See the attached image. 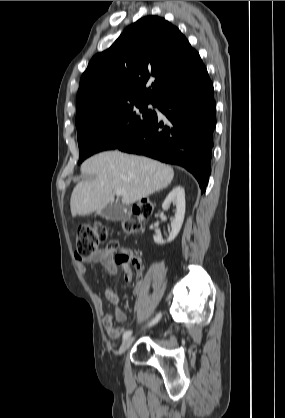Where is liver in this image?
<instances>
[{
	"instance_id": "1",
	"label": "liver",
	"mask_w": 285,
	"mask_h": 418,
	"mask_svg": "<svg viewBox=\"0 0 285 418\" xmlns=\"http://www.w3.org/2000/svg\"><path fill=\"white\" fill-rule=\"evenodd\" d=\"M81 172L95 178L74 187L70 199L72 216L104 209L117 189L123 192L124 205L133 204L167 187L174 177L172 167L166 164L119 151L101 152L88 158L81 165Z\"/></svg>"
}]
</instances>
